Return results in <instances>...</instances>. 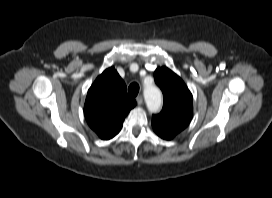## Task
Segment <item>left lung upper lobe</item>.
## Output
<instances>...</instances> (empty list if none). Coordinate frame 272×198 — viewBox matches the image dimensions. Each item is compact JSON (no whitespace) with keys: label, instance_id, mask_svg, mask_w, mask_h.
<instances>
[{"label":"left lung upper lobe","instance_id":"obj_1","mask_svg":"<svg viewBox=\"0 0 272 198\" xmlns=\"http://www.w3.org/2000/svg\"><path fill=\"white\" fill-rule=\"evenodd\" d=\"M154 78L163 92L164 105L161 113L152 116V126L154 131L173 138L191 121L192 94L183 80L166 67L157 68Z\"/></svg>","mask_w":272,"mask_h":198}]
</instances>
